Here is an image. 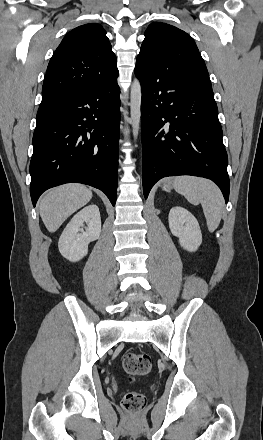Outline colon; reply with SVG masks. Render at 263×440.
I'll list each match as a JSON object with an SVG mask.
<instances>
[{
  "label": "colon",
  "instance_id": "1",
  "mask_svg": "<svg viewBox=\"0 0 263 440\" xmlns=\"http://www.w3.org/2000/svg\"><path fill=\"white\" fill-rule=\"evenodd\" d=\"M152 365L153 360L148 353L128 352L123 358L124 370L130 377L146 375ZM146 405L145 395L138 391H127L122 398L123 409L131 414L142 412Z\"/></svg>",
  "mask_w": 263,
  "mask_h": 440
}]
</instances>
